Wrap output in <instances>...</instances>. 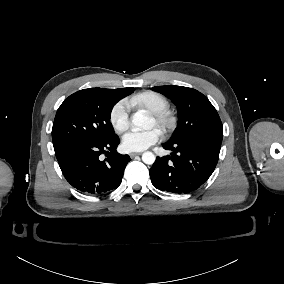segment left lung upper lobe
I'll use <instances>...</instances> for the list:
<instances>
[{
  "mask_svg": "<svg viewBox=\"0 0 284 284\" xmlns=\"http://www.w3.org/2000/svg\"><path fill=\"white\" fill-rule=\"evenodd\" d=\"M152 90L170 98L178 108L179 123L169 142L190 138H207L222 142L220 117L205 95L182 86H155Z\"/></svg>",
  "mask_w": 284,
  "mask_h": 284,
  "instance_id": "5c2ea615",
  "label": "left lung upper lobe"
}]
</instances>
